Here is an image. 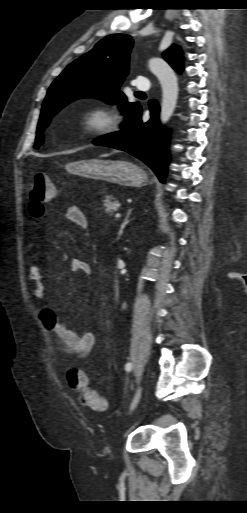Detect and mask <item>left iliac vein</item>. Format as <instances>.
Wrapping results in <instances>:
<instances>
[{
	"mask_svg": "<svg viewBox=\"0 0 247 513\" xmlns=\"http://www.w3.org/2000/svg\"><path fill=\"white\" fill-rule=\"evenodd\" d=\"M141 396H142V386L140 385L137 390H136V393L134 395V398L132 400V403H131V406H130V412H133L135 410V408L137 407L140 399H141Z\"/></svg>",
	"mask_w": 247,
	"mask_h": 513,
	"instance_id": "4c4485c4",
	"label": "left iliac vein"
}]
</instances>
